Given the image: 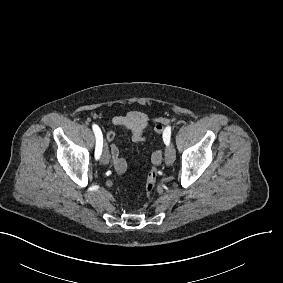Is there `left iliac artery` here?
Returning a JSON list of instances; mask_svg holds the SVG:
<instances>
[{"label":"left iliac artery","instance_id":"1","mask_svg":"<svg viewBox=\"0 0 283 283\" xmlns=\"http://www.w3.org/2000/svg\"><path fill=\"white\" fill-rule=\"evenodd\" d=\"M170 136H171V128L166 127V129L164 130V133H163V141L166 145H169V143H170Z\"/></svg>","mask_w":283,"mask_h":283}]
</instances>
